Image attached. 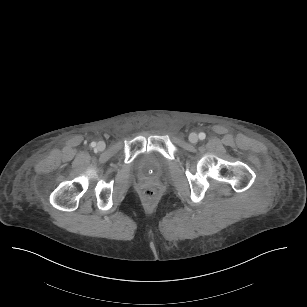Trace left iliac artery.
<instances>
[{"mask_svg": "<svg viewBox=\"0 0 307 307\" xmlns=\"http://www.w3.org/2000/svg\"><path fill=\"white\" fill-rule=\"evenodd\" d=\"M205 137H206L205 133H203V132L199 133V139L200 140H204Z\"/></svg>", "mask_w": 307, "mask_h": 307, "instance_id": "1", "label": "left iliac artery"}]
</instances>
